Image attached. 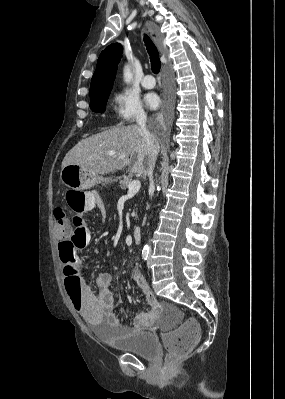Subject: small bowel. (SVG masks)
<instances>
[{"label":"small bowel","instance_id":"c3829d8e","mask_svg":"<svg viewBox=\"0 0 285 399\" xmlns=\"http://www.w3.org/2000/svg\"><path fill=\"white\" fill-rule=\"evenodd\" d=\"M86 202L85 209L87 211L98 212L100 218L105 216L106 210L103 200L98 193L88 191L85 193ZM54 215L61 218L62 211L55 210ZM57 234L59 238L64 239L70 235V230L65 223L57 225ZM131 278L141 290V293L149 307L148 311L139 312L133 318L132 328L126 326L125 320L113 311L115 306V298L113 295L110 281L102 274H97L95 278V285L97 292L95 293L89 286L86 278L81 270L76 265L70 270H65V281L70 279L73 282H78L81 288V295L79 298V305L75 306L69 293L68 295L73 306L78 310L83 319L89 322L106 321L112 328L120 330L121 334H127L131 330H152L158 327L157 320L163 309L152 291L150 290L147 280L139 268H134L131 272Z\"/></svg>","mask_w":285,"mask_h":399}]
</instances>
